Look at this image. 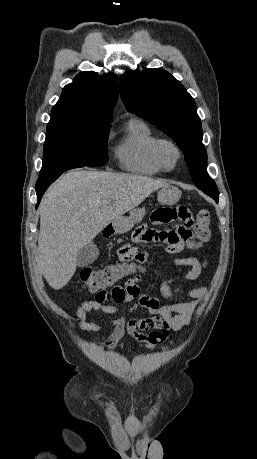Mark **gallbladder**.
<instances>
[{
	"label": "gallbladder",
	"mask_w": 257,
	"mask_h": 459,
	"mask_svg": "<svg viewBox=\"0 0 257 459\" xmlns=\"http://www.w3.org/2000/svg\"><path fill=\"white\" fill-rule=\"evenodd\" d=\"M99 255V249L94 242H90L82 247L77 253V265L79 267L88 266L93 263Z\"/></svg>",
	"instance_id": "bac80fb5"
}]
</instances>
